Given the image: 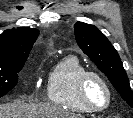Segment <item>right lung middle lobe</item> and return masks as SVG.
Returning <instances> with one entry per match:
<instances>
[{"mask_svg":"<svg viewBox=\"0 0 133 118\" xmlns=\"http://www.w3.org/2000/svg\"><path fill=\"white\" fill-rule=\"evenodd\" d=\"M24 63L0 65V97L16 86L17 73L23 68Z\"/></svg>","mask_w":133,"mask_h":118,"instance_id":"1","label":"right lung middle lobe"}]
</instances>
